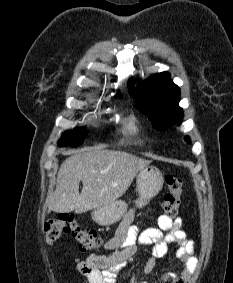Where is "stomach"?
<instances>
[{"label":"stomach","mask_w":233,"mask_h":283,"mask_svg":"<svg viewBox=\"0 0 233 283\" xmlns=\"http://www.w3.org/2000/svg\"><path fill=\"white\" fill-rule=\"evenodd\" d=\"M164 183L163 174L155 166H146L140 169L136 175V190L139 195L136 200L138 207L145 206L162 189ZM127 211V204L118 200L114 203L96 208L91 215L100 225H111L119 221Z\"/></svg>","instance_id":"obj_1"}]
</instances>
